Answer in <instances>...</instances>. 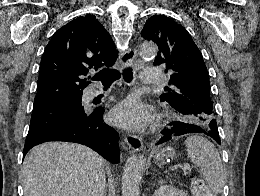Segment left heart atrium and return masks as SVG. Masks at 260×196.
<instances>
[{"instance_id":"1","label":"left heart atrium","mask_w":260,"mask_h":196,"mask_svg":"<svg viewBox=\"0 0 260 196\" xmlns=\"http://www.w3.org/2000/svg\"><path fill=\"white\" fill-rule=\"evenodd\" d=\"M113 123L128 129H142L152 119V112L149 107L136 98H127L118 103L111 111Z\"/></svg>"}]
</instances>
